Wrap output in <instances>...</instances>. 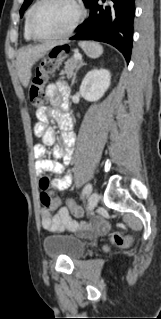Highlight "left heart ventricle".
Listing matches in <instances>:
<instances>
[{
  "instance_id": "obj_1",
  "label": "left heart ventricle",
  "mask_w": 161,
  "mask_h": 319,
  "mask_svg": "<svg viewBox=\"0 0 161 319\" xmlns=\"http://www.w3.org/2000/svg\"><path fill=\"white\" fill-rule=\"evenodd\" d=\"M75 16V9L68 0H48L38 10L33 28L38 36H52L62 32Z\"/></svg>"
}]
</instances>
